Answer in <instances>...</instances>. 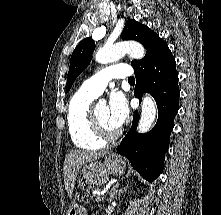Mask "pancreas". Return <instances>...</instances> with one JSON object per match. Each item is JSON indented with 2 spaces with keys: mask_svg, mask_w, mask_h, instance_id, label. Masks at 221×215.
Returning a JSON list of instances; mask_svg holds the SVG:
<instances>
[{
  "mask_svg": "<svg viewBox=\"0 0 221 215\" xmlns=\"http://www.w3.org/2000/svg\"><path fill=\"white\" fill-rule=\"evenodd\" d=\"M95 188L94 187H88L86 189V192L84 193V195L82 196L81 200L84 203H89L91 199L95 198L94 195L90 194L91 191H93Z\"/></svg>",
  "mask_w": 221,
  "mask_h": 215,
  "instance_id": "obj_1",
  "label": "pancreas"
}]
</instances>
